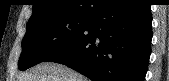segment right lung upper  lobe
<instances>
[{
	"label": "right lung upper lobe",
	"instance_id": "1",
	"mask_svg": "<svg viewBox=\"0 0 169 81\" xmlns=\"http://www.w3.org/2000/svg\"><path fill=\"white\" fill-rule=\"evenodd\" d=\"M33 13L28 23L55 16H86L108 0H33Z\"/></svg>",
	"mask_w": 169,
	"mask_h": 81
}]
</instances>
